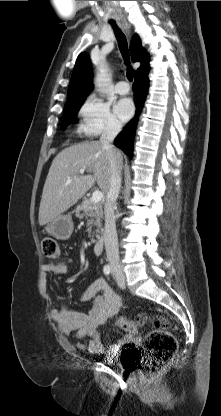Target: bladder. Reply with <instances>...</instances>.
Instances as JSON below:
<instances>
[{
    "instance_id": "bladder-1",
    "label": "bladder",
    "mask_w": 221,
    "mask_h": 416,
    "mask_svg": "<svg viewBox=\"0 0 221 416\" xmlns=\"http://www.w3.org/2000/svg\"><path fill=\"white\" fill-rule=\"evenodd\" d=\"M105 360H106L105 362H107V363L111 362V359H109V358H106Z\"/></svg>"
}]
</instances>
